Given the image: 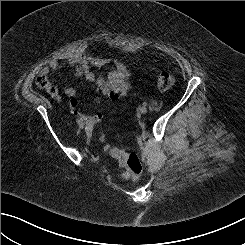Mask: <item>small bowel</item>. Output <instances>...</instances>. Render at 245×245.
Instances as JSON below:
<instances>
[{
  "instance_id": "c3829d8e",
  "label": "small bowel",
  "mask_w": 245,
  "mask_h": 245,
  "mask_svg": "<svg viewBox=\"0 0 245 245\" xmlns=\"http://www.w3.org/2000/svg\"><path fill=\"white\" fill-rule=\"evenodd\" d=\"M106 62L107 60L103 58L80 55L71 60L69 65L76 76H84L89 82L94 83L110 101H116L128 94L130 72L126 65L119 61L114 62L113 69L106 76L97 74L93 70V68H100ZM60 67H62V64L59 61L52 60L47 69L58 70ZM47 69L44 70V73L47 72ZM64 93L70 98L69 106L71 113L84 120L87 125L94 126L102 120L103 116L99 113L86 115L79 111L76 100L77 90L75 88L66 87ZM51 96L56 101L62 100L58 92L51 93Z\"/></svg>"
}]
</instances>
